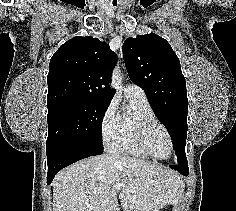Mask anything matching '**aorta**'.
<instances>
[{"instance_id": "1", "label": "aorta", "mask_w": 236, "mask_h": 211, "mask_svg": "<svg viewBox=\"0 0 236 211\" xmlns=\"http://www.w3.org/2000/svg\"><path fill=\"white\" fill-rule=\"evenodd\" d=\"M121 73H120V69L119 67H116L114 70H113V73H112V81H111V88L116 90V92L120 89L121 87Z\"/></svg>"}]
</instances>
